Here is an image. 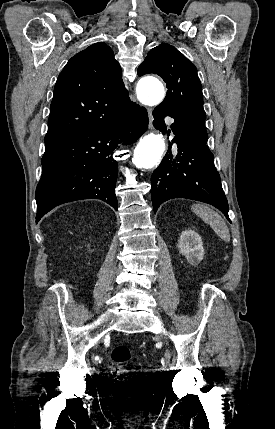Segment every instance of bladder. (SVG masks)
Returning a JSON list of instances; mask_svg holds the SVG:
<instances>
[{
	"instance_id": "1",
	"label": "bladder",
	"mask_w": 275,
	"mask_h": 429,
	"mask_svg": "<svg viewBox=\"0 0 275 429\" xmlns=\"http://www.w3.org/2000/svg\"><path fill=\"white\" fill-rule=\"evenodd\" d=\"M134 384L136 386H141L143 384V379L141 377H136L134 379ZM113 395L115 398H124L126 403H137L139 398H145L146 391L145 389H129V384L127 382H122L120 384V389H115Z\"/></svg>"
}]
</instances>
